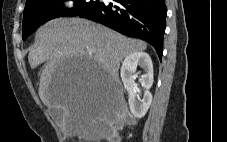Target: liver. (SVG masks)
I'll list each match as a JSON object with an SVG mask.
<instances>
[{
  "label": "liver",
  "mask_w": 227,
  "mask_h": 142,
  "mask_svg": "<svg viewBox=\"0 0 227 142\" xmlns=\"http://www.w3.org/2000/svg\"><path fill=\"white\" fill-rule=\"evenodd\" d=\"M38 46L28 55L32 69L47 62L42 70L39 96L48 108L62 109L65 119L62 128L66 133H80L82 122L92 115V102L105 83L119 87L120 62L135 52L146 50V42L128 38L110 28L81 18H56L36 33ZM60 61H93L96 78L91 88H64L63 81H55Z\"/></svg>",
  "instance_id": "liver-1"
}]
</instances>
